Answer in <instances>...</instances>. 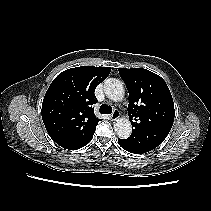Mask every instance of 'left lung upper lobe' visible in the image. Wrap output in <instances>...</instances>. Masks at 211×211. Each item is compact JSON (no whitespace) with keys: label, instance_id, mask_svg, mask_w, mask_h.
I'll return each mask as SVG.
<instances>
[{"label":"left lung upper lobe","instance_id":"1","mask_svg":"<svg viewBox=\"0 0 211 211\" xmlns=\"http://www.w3.org/2000/svg\"><path fill=\"white\" fill-rule=\"evenodd\" d=\"M129 92L128 114L132 134L124 139L133 149L151 151L170 132L174 121V102L165 81L142 68H119Z\"/></svg>","mask_w":211,"mask_h":211}]
</instances>
